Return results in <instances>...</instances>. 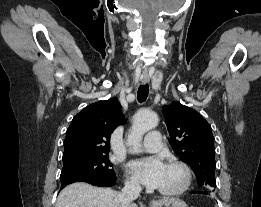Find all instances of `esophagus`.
I'll use <instances>...</instances> for the list:
<instances>
[{
	"label": "esophagus",
	"instance_id": "obj_1",
	"mask_svg": "<svg viewBox=\"0 0 261 207\" xmlns=\"http://www.w3.org/2000/svg\"><path fill=\"white\" fill-rule=\"evenodd\" d=\"M149 82V76L148 75H144L143 77H142V83L143 84H146V83H148Z\"/></svg>",
	"mask_w": 261,
	"mask_h": 207
}]
</instances>
